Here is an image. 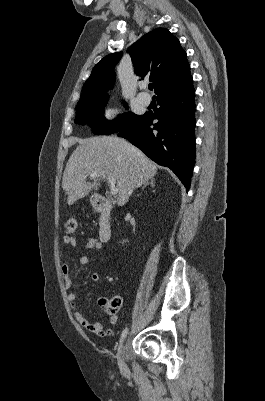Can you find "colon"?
I'll list each match as a JSON object with an SVG mask.
<instances>
[{"label": "colon", "instance_id": "1", "mask_svg": "<svg viewBox=\"0 0 265 401\" xmlns=\"http://www.w3.org/2000/svg\"><path fill=\"white\" fill-rule=\"evenodd\" d=\"M78 227L77 220L73 217L69 218L66 222L65 229L69 234L75 233ZM100 305L103 309L111 315L116 314L121 307V299L119 297H113L110 299H102Z\"/></svg>", "mask_w": 265, "mask_h": 401}]
</instances>
